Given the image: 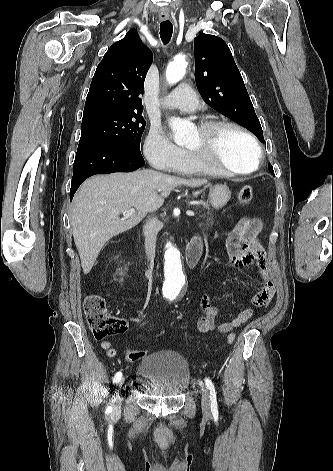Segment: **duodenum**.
<instances>
[{"label": "duodenum", "mask_w": 333, "mask_h": 471, "mask_svg": "<svg viewBox=\"0 0 333 471\" xmlns=\"http://www.w3.org/2000/svg\"><path fill=\"white\" fill-rule=\"evenodd\" d=\"M203 251V243L200 238H193L188 244L185 252V263L188 268H194ZM146 275L152 276V270L147 269Z\"/></svg>", "instance_id": "duodenum-1"}]
</instances>
